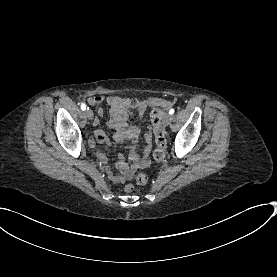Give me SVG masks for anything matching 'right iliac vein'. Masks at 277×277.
<instances>
[{
  "mask_svg": "<svg viewBox=\"0 0 277 277\" xmlns=\"http://www.w3.org/2000/svg\"><path fill=\"white\" fill-rule=\"evenodd\" d=\"M85 115L89 120H92L94 116L93 111L89 108H87V110L85 111Z\"/></svg>",
  "mask_w": 277,
  "mask_h": 277,
  "instance_id": "right-iliac-vein-1",
  "label": "right iliac vein"
}]
</instances>
